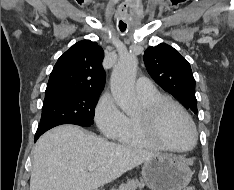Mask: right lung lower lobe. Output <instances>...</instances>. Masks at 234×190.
I'll return each mask as SVG.
<instances>
[{
	"instance_id": "98d812e1",
	"label": "right lung lower lobe",
	"mask_w": 234,
	"mask_h": 190,
	"mask_svg": "<svg viewBox=\"0 0 234 190\" xmlns=\"http://www.w3.org/2000/svg\"><path fill=\"white\" fill-rule=\"evenodd\" d=\"M40 135H42V134L36 133V135H35V141L40 137Z\"/></svg>"
}]
</instances>
